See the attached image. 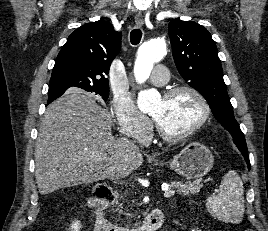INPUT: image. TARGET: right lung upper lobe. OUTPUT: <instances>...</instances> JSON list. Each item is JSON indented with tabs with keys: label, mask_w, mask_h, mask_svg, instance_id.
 <instances>
[{
	"label": "right lung upper lobe",
	"mask_w": 268,
	"mask_h": 231,
	"mask_svg": "<svg viewBox=\"0 0 268 231\" xmlns=\"http://www.w3.org/2000/svg\"><path fill=\"white\" fill-rule=\"evenodd\" d=\"M120 49L121 33L110 22L99 20L82 25L68 37L58 54L49 89H109L107 75ZM61 95H49L47 103Z\"/></svg>",
	"instance_id": "right-lung-upper-lobe-1"
}]
</instances>
